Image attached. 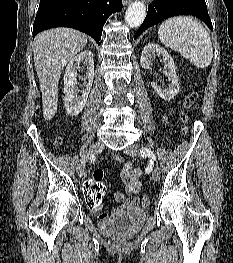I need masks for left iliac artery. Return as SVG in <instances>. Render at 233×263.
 Masks as SVG:
<instances>
[{
  "label": "left iliac artery",
  "instance_id": "1",
  "mask_svg": "<svg viewBox=\"0 0 233 263\" xmlns=\"http://www.w3.org/2000/svg\"><path fill=\"white\" fill-rule=\"evenodd\" d=\"M140 153L143 155V156H148V157H151L152 159L156 160V156L154 155V153L148 149V148H142L140 150Z\"/></svg>",
  "mask_w": 233,
  "mask_h": 263
}]
</instances>
